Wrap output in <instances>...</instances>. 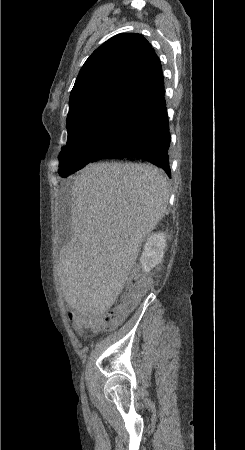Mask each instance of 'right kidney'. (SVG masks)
I'll list each match as a JSON object with an SVG mask.
<instances>
[{"label": "right kidney", "mask_w": 245, "mask_h": 450, "mask_svg": "<svg viewBox=\"0 0 245 450\" xmlns=\"http://www.w3.org/2000/svg\"><path fill=\"white\" fill-rule=\"evenodd\" d=\"M166 246V238L164 233L152 234L144 245L140 263L145 272H149L156 265L161 263Z\"/></svg>", "instance_id": "1"}]
</instances>
